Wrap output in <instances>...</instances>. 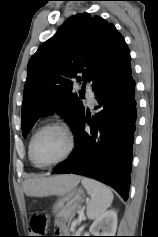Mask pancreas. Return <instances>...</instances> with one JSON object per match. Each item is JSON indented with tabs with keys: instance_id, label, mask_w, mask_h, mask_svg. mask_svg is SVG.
<instances>
[{
	"instance_id": "cf45deb5",
	"label": "pancreas",
	"mask_w": 158,
	"mask_h": 237,
	"mask_svg": "<svg viewBox=\"0 0 158 237\" xmlns=\"http://www.w3.org/2000/svg\"><path fill=\"white\" fill-rule=\"evenodd\" d=\"M73 233H80L79 231L72 230Z\"/></svg>"
}]
</instances>
